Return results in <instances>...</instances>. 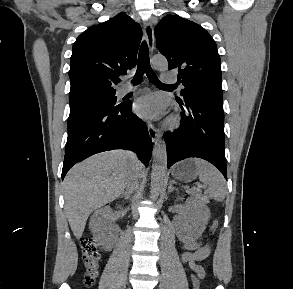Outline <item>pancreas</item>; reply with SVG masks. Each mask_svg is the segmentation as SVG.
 <instances>
[{"label": "pancreas", "mask_w": 293, "mask_h": 289, "mask_svg": "<svg viewBox=\"0 0 293 289\" xmlns=\"http://www.w3.org/2000/svg\"><path fill=\"white\" fill-rule=\"evenodd\" d=\"M187 192H188L192 197H194V198L197 199V200H201V201H205V202L208 201V199H207L204 195H202L201 190L198 189V188H194V189H192V190H188Z\"/></svg>", "instance_id": "cf45deb5"}]
</instances>
